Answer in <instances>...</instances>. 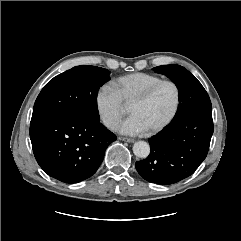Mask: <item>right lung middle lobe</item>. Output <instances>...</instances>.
Masks as SVG:
<instances>
[{
    "label": "right lung middle lobe",
    "instance_id": "right-lung-middle-lobe-1",
    "mask_svg": "<svg viewBox=\"0 0 241 241\" xmlns=\"http://www.w3.org/2000/svg\"><path fill=\"white\" fill-rule=\"evenodd\" d=\"M107 69L82 65L50 80L38 95L32 118L47 114H74L99 121L97 94L110 77Z\"/></svg>",
    "mask_w": 241,
    "mask_h": 241
}]
</instances>
